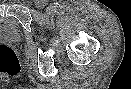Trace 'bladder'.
I'll list each match as a JSON object with an SVG mask.
<instances>
[{
	"label": "bladder",
	"mask_w": 131,
	"mask_h": 89,
	"mask_svg": "<svg viewBox=\"0 0 131 89\" xmlns=\"http://www.w3.org/2000/svg\"><path fill=\"white\" fill-rule=\"evenodd\" d=\"M22 39V31L19 23L10 17L0 16V41L18 43Z\"/></svg>",
	"instance_id": "obj_1"
}]
</instances>
